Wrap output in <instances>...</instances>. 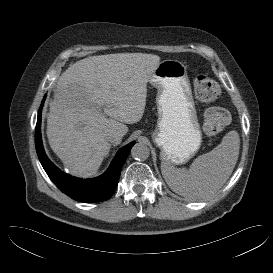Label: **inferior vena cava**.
Instances as JSON below:
<instances>
[{
    "instance_id": "obj_1",
    "label": "inferior vena cava",
    "mask_w": 273,
    "mask_h": 273,
    "mask_svg": "<svg viewBox=\"0 0 273 273\" xmlns=\"http://www.w3.org/2000/svg\"><path fill=\"white\" fill-rule=\"evenodd\" d=\"M107 139L112 144H119L121 142V137L118 134H111Z\"/></svg>"
}]
</instances>
